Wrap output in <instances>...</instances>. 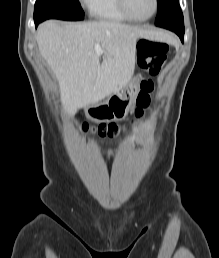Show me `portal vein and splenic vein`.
<instances>
[{
    "label": "portal vein and splenic vein",
    "instance_id": "obj_1",
    "mask_svg": "<svg viewBox=\"0 0 219 258\" xmlns=\"http://www.w3.org/2000/svg\"><path fill=\"white\" fill-rule=\"evenodd\" d=\"M95 51H96L97 54H102L103 53V50L98 43L95 44Z\"/></svg>",
    "mask_w": 219,
    "mask_h": 258
}]
</instances>
